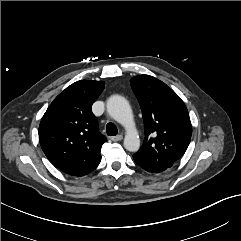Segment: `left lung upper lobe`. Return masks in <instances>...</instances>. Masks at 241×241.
Wrapping results in <instances>:
<instances>
[{"instance_id":"5c2ea615","label":"left lung upper lobe","mask_w":241,"mask_h":241,"mask_svg":"<svg viewBox=\"0 0 241 241\" xmlns=\"http://www.w3.org/2000/svg\"><path fill=\"white\" fill-rule=\"evenodd\" d=\"M130 84L143 113L145 139L133 155L148 172L173 166L185 153L192 126L184 102L165 83L149 75L133 77ZM153 134L154 138H149Z\"/></svg>"}]
</instances>
